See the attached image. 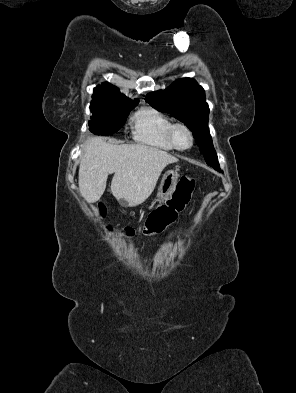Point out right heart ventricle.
Returning a JSON list of instances; mask_svg holds the SVG:
<instances>
[{
  "instance_id": "e07e8e85",
  "label": "right heart ventricle",
  "mask_w": 296,
  "mask_h": 393,
  "mask_svg": "<svg viewBox=\"0 0 296 393\" xmlns=\"http://www.w3.org/2000/svg\"><path fill=\"white\" fill-rule=\"evenodd\" d=\"M133 137L136 141L162 150H174L169 140V129L173 123L164 112L145 107L133 117Z\"/></svg>"
}]
</instances>
